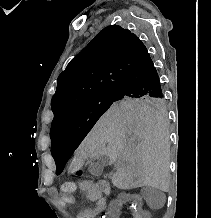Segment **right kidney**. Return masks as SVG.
Masks as SVG:
<instances>
[{
    "instance_id": "right-kidney-1",
    "label": "right kidney",
    "mask_w": 211,
    "mask_h": 218,
    "mask_svg": "<svg viewBox=\"0 0 211 218\" xmlns=\"http://www.w3.org/2000/svg\"><path fill=\"white\" fill-rule=\"evenodd\" d=\"M118 201H113V206H109L107 214L109 218H121L123 210L121 206H126L124 210L125 218H142L140 214L139 202H142V198L138 197V193H117Z\"/></svg>"
}]
</instances>
